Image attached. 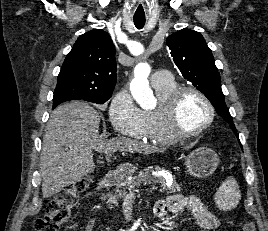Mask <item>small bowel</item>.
<instances>
[{"instance_id":"obj_1","label":"small bowel","mask_w":268,"mask_h":231,"mask_svg":"<svg viewBox=\"0 0 268 231\" xmlns=\"http://www.w3.org/2000/svg\"><path fill=\"white\" fill-rule=\"evenodd\" d=\"M183 210L190 212L193 224L201 231H213L218 226V218L209 206L199 197L190 195L171 194L156 203L154 211L158 216L167 213H179ZM94 220L90 216L84 224L83 231H92Z\"/></svg>"}]
</instances>
